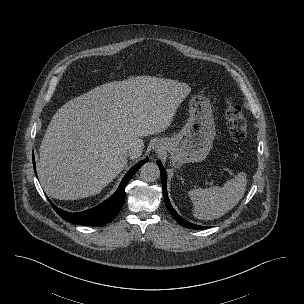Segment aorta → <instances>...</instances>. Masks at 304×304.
Listing matches in <instances>:
<instances>
[{"mask_svg": "<svg viewBox=\"0 0 304 304\" xmlns=\"http://www.w3.org/2000/svg\"><path fill=\"white\" fill-rule=\"evenodd\" d=\"M140 177L145 182H154L160 177V170L157 164L152 162L145 163L140 168Z\"/></svg>", "mask_w": 304, "mask_h": 304, "instance_id": "1", "label": "aorta"}]
</instances>
